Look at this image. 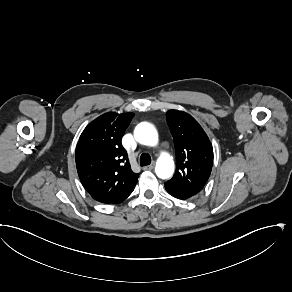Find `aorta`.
Wrapping results in <instances>:
<instances>
[{"label": "aorta", "instance_id": "aorta-1", "mask_svg": "<svg viewBox=\"0 0 292 292\" xmlns=\"http://www.w3.org/2000/svg\"><path fill=\"white\" fill-rule=\"evenodd\" d=\"M135 137L139 143L152 148H158L159 136L157 130L149 123H140L135 129ZM174 160L166 150H160L155 171L160 178H168L174 172Z\"/></svg>", "mask_w": 292, "mask_h": 292}]
</instances>
